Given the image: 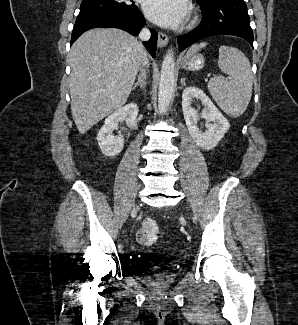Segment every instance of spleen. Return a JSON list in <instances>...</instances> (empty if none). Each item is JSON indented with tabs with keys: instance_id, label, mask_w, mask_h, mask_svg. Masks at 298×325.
<instances>
[{
	"instance_id": "obj_1",
	"label": "spleen",
	"mask_w": 298,
	"mask_h": 325,
	"mask_svg": "<svg viewBox=\"0 0 298 325\" xmlns=\"http://www.w3.org/2000/svg\"><path fill=\"white\" fill-rule=\"evenodd\" d=\"M208 42L192 44L187 50V56L195 54L204 48ZM219 68L229 74L230 80H225L221 76H213L208 80V90L216 100L218 106L232 118H237L245 112L252 96L253 74L249 58L242 50L235 46H220L219 58L217 60Z\"/></svg>"
}]
</instances>
